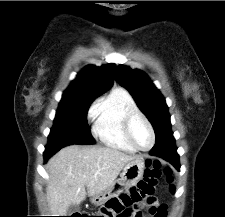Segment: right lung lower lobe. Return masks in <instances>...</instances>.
Listing matches in <instances>:
<instances>
[{"instance_id":"obj_1","label":"right lung lower lobe","mask_w":225,"mask_h":217,"mask_svg":"<svg viewBox=\"0 0 225 217\" xmlns=\"http://www.w3.org/2000/svg\"><path fill=\"white\" fill-rule=\"evenodd\" d=\"M60 149H61L60 147L46 146L44 152V160L47 161L52 155H54Z\"/></svg>"}]
</instances>
